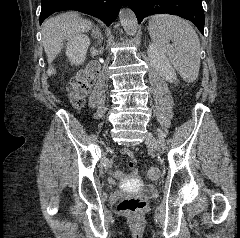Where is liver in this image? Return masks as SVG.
<instances>
[{
    "instance_id": "6515ba94",
    "label": "liver",
    "mask_w": 240,
    "mask_h": 238,
    "mask_svg": "<svg viewBox=\"0 0 240 238\" xmlns=\"http://www.w3.org/2000/svg\"><path fill=\"white\" fill-rule=\"evenodd\" d=\"M91 28V21L83 19L76 12L63 13L43 23L42 43L50 64L47 70L48 75L55 74L51 63L61 52L64 40L71 38L74 34L87 32Z\"/></svg>"
}]
</instances>
